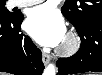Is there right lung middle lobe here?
<instances>
[{"instance_id": "dd1d6c3e", "label": "right lung middle lobe", "mask_w": 102, "mask_h": 75, "mask_svg": "<svg viewBox=\"0 0 102 75\" xmlns=\"http://www.w3.org/2000/svg\"><path fill=\"white\" fill-rule=\"evenodd\" d=\"M5 4L6 2L4 0L0 1V18L2 19L11 18V16L13 15L7 10V8L5 7Z\"/></svg>"}]
</instances>
